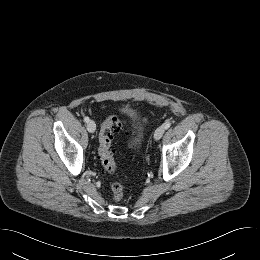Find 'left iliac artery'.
<instances>
[{
  "label": "left iliac artery",
  "mask_w": 260,
  "mask_h": 260,
  "mask_svg": "<svg viewBox=\"0 0 260 260\" xmlns=\"http://www.w3.org/2000/svg\"><path fill=\"white\" fill-rule=\"evenodd\" d=\"M163 126H164L165 129H168L171 126V123L166 122V123L163 124Z\"/></svg>",
  "instance_id": "left-iliac-artery-1"
}]
</instances>
